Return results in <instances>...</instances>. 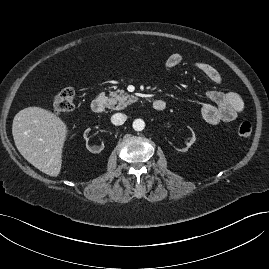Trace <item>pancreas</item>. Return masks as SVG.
Returning a JSON list of instances; mask_svg holds the SVG:
<instances>
[{"label": "pancreas", "instance_id": "pancreas-1", "mask_svg": "<svg viewBox=\"0 0 269 269\" xmlns=\"http://www.w3.org/2000/svg\"><path fill=\"white\" fill-rule=\"evenodd\" d=\"M111 97L106 103V107L111 110H121L136 101V97L125 93L122 90L110 92Z\"/></svg>", "mask_w": 269, "mask_h": 269}]
</instances>
